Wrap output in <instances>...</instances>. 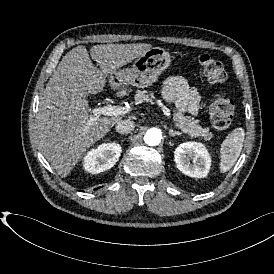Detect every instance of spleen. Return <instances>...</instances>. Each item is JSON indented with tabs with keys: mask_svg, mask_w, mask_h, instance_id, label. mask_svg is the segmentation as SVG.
<instances>
[{
	"mask_svg": "<svg viewBox=\"0 0 274 274\" xmlns=\"http://www.w3.org/2000/svg\"><path fill=\"white\" fill-rule=\"evenodd\" d=\"M244 137V129L236 128L222 142L220 149V171L222 173L230 170L237 161L243 147Z\"/></svg>",
	"mask_w": 274,
	"mask_h": 274,
	"instance_id": "1",
	"label": "spleen"
}]
</instances>
